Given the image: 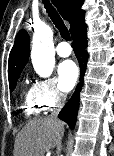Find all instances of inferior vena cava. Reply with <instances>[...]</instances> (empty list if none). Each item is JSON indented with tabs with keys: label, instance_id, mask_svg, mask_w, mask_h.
Masks as SVG:
<instances>
[{
	"label": "inferior vena cava",
	"instance_id": "602c4592",
	"mask_svg": "<svg viewBox=\"0 0 114 156\" xmlns=\"http://www.w3.org/2000/svg\"><path fill=\"white\" fill-rule=\"evenodd\" d=\"M66 101V95L63 93H58L55 100V108L52 110L50 118L57 120L58 114L63 108Z\"/></svg>",
	"mask_w": 114,
	"mask_h": 156
}]
</instances>
